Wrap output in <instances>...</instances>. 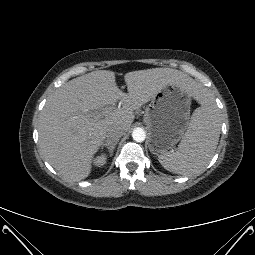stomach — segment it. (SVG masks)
Returning a JSON list of instances; mask_svg holds the SVG:
<instances>
[{
  "label": "stomach",
  "mask_w": 255,
  "mask_h": 255,
  "mask_svg": "<svg viewBox=\"0 0 255 255\" xmlns=\"http://www.w3.org/2000/svg\"><path fill=\"white\" fill-rule=\"evenodd\" d=\"M151 100L154 108L146 125L149 150L159 155L172 149L184 136L189 125L192 95L180 84L170 83Z\"/></svg>",
  "instance_id": "0dacf381"
}]
</instances>
